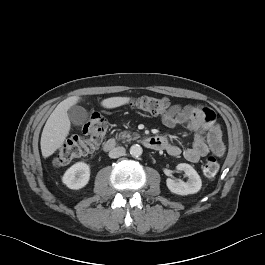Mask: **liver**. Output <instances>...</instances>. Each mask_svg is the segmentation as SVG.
Listing matches in <instances>:
<instances>
[{
    "mask_svg": "<svg viewBox=\"0 0 265 265\" xmlns=\"http://www.w3.org/2000/svg\"><path fill=\"white\" fill-rule=\"evenodd\" d=\"M79 96H71L60 102L51 113L43 128L41 135V152L44 158L51 156L59 149L71 129V123L67 111L80 101ZM130 97H110L104 99L101 105L105 108H116L128 103Z\"/></svg>",
    "mask_w": 265,
    "mask_h": 265,
    "instance_id": "1",
    "label": "liver"
}]
</instances>
